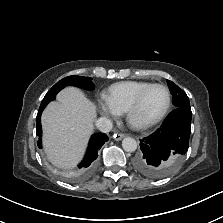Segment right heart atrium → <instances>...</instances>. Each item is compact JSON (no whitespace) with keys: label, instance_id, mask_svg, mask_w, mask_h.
<instances>
[{"label":"right heart atrium","instance_id":"d8ad5b80","mask_svg":"<svg viewBox=\"0 0 223 223\" xmlns=\"http://www.w3.org/2000/svg\"><path fill=\"white\" fill-rule=\"evenodd\" d=\"M101 113L107 117L114 118L119 115V112L109 103L106 98H102L98 102Z\"/></svg>","mask_w":223,"mask_h":223}]
</instances>
